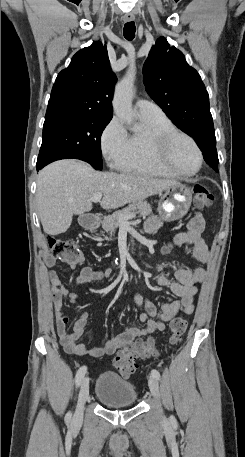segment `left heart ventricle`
<instances>
[{"label": "left heart ventricle", "instance_id": "obj_1", "mask_svg": "<svg viewBox=\"0 0 245 457\" xmlns=\"http://www.w3.org/2000/svg\"><path fill=\"white\" fill-rule=\"evenodd\" d=\"M157 156L178 171L191 172L197 166V157L189 141L183 137H177L170 146L157 150Z\"/></svg>", "mask_w": 245, "mask_h": 457}]
</instances>
